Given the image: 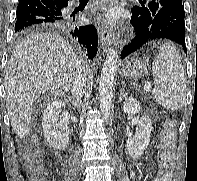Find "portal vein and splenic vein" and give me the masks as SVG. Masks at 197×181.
Listing matches in <instances>:
<instances>
[{"instance_id":"1","label":"portal vein and splenic vein","mask_w":197,"mask_h":181,"mask_svg":"<svg viewBox=\"0 0 197 181\" xmlns=\"http://www.w3.org/2000/svg\"><path fill=\"white\" fill-rule=\"evenodd\" d=\"M144 89H145L146 92H149L151 90L150 84L145 85Z\"/></svg>"}]
</instances>
